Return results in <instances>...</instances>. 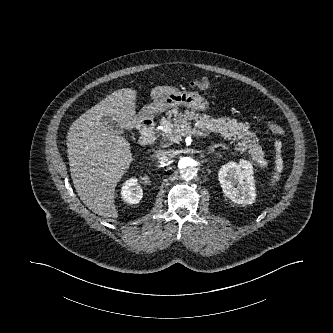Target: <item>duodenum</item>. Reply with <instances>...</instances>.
Masks as SVG:
<instances>
[{
	"label": "duodenum",
	"mask_w": 333,
	"mask_h": 333,
	"mask_svg": "<svg viewBox=\"0 0 333 333\" xmlns=\"http://www.w3.org/2000/svg\"><path fill=\"white\" fill-rule=\"evenodd\" d=\"M141 137L142 143L145 145H154L156 137H155V128L154 123L150 117H144L141 124Z\"/></svg>",
	"instance_id": "1"
}]
</instances>
